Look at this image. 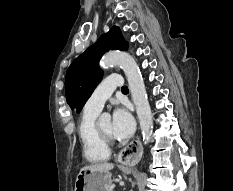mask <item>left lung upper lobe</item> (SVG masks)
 Masks as SVG:
<instances>
[{"instance_id": "left-lung-upper-lobe-1", "label": "left lung upper lobe", "mask_w": 233, "mask_h": 191, "mask_svg": "<svg viewBox=\"0 0 233 191\" xmlns=\"http://www.w3.org/2000/svg\"><path fill=\"white\" fill-rule=\"evenodd\" d=\"M127 49L128 43L123 38L120 28L113 26L73 61L65 80L66 99L72 110L81 111L100 81L103 73L99 68V60L103 54L109 50Z\"/></svg>"}]
</instances>
